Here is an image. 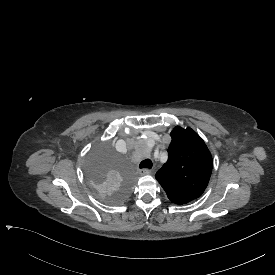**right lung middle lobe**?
Listing matches in <instances>:
<instances>
[{"label":"right lung middle lobe","mask_w":275,"mask_h":275,"mask_svg":"<svg viewBox=\"0 0 275 275\" xmlns=\"http://www.w3.org/2000/svg\"><path fill=\"white\" fill-rule=\"evenodd\" d=\"M85 174L95 197L107 206L127 200L135 184V172L111 140L100 137L88 151Z\"/></svg>","instance_id":"obj_1"}]
</instances>
